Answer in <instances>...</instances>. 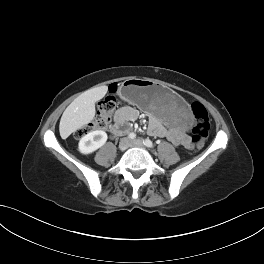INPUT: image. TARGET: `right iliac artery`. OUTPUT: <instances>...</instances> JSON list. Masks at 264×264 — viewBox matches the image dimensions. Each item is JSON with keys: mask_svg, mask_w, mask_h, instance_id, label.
<instances>
[{"mask_svg": "<svg viewBox=\"0 0 264 264\" xmlns=\"http://www.w3.org/2000/svg\"><path fill=\"white\" fill-rule=\"evenodd\" d=\"M128 138L131 139V140H134L136 138V135L134 133H130L128 135Z\"/></svg>", "mask_w": 264, "mask_h": 264, "instance_id": "82829eb1", "label": "right iliac artery"}]
</instances>
